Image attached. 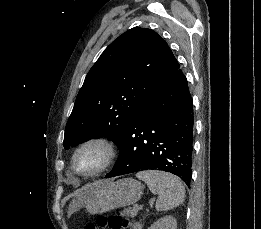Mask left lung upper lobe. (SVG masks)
Listing matches in <instances>:
<instances>
[{
	"mask_svg": "<svg viewBox=\"0 0 261 229\" xmlns=\"http://www.w3.org/2000/svg\"><path fill=\"white\" fill-rule=\"evenodd\" d=\"M179 67L153 30L135 27L120 35L85 78L65 128L64 148L104 136L119 147L144 101Z\"/></svg>",
	"mask_w": 261,
	"mask_h": 229,
	"instance_id": "left-lung-upper-lobe-1",
	"label": "left lung upper lobe"
}]
</instances>
